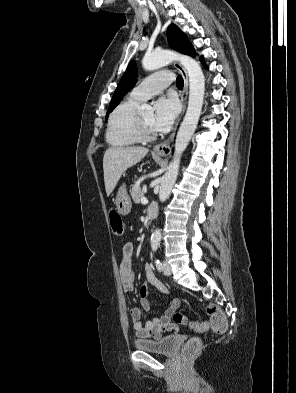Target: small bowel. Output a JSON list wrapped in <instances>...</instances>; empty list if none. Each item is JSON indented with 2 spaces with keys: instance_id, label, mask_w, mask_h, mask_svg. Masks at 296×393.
Returning a JSON list of instances; mask_svg holds the SVG:
<instances>
[{
  "instance_id": "obj_1",
  "label": "small bowel",
  "mask_w": 296,
  "mask_h": 393,
  "mask_svg": "<svg viewBox=\"0 0 296 393\" xmlns=\"http://www.w3.org/2000/svg\"><path fill=\"white\" fill-rule=\"evenodd\" d=\"M119 278L125 292H132L134 289V269H133V244L127 242L122 248V258L118 269ZM145 283L141 286L138 295V306L130 310V318L136 334L141 338H159L169 331H177L178 327L171 322L172 314L179 308L180 300L172 298L167 302V306L159 317L142 322L145 312L152 310L150 296L146 287L149 283L160 292L168 294V288L154 275L150 264L145 266Z\"/></svg>"
}]
</instances>
